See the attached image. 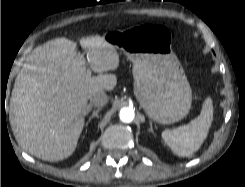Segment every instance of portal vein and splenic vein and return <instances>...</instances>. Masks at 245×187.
Here are the masks:
<instances>
[{"mask_svg":"<svg viewBox=\"0 0 245 187\" xmlns=\"http://www.w3.org/2000/svg\"><path fill=\"white\" fill-rule=\"evenodd\" d=\"M87 73H88V74H91V70H90V69H88V70H87Z\"/></svg>","mask_w":245,"mask_h":187,"instance_id":"obj_1","label":"portal vein and splenic vein"}]
</instances>
